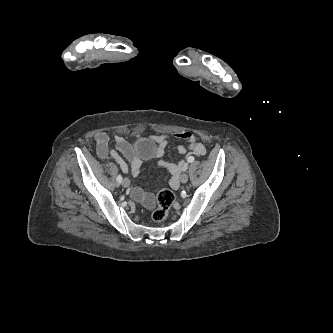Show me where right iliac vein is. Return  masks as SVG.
I'll list each match as a JSON object with an SVG mask.
<instances>
[{
	"label": "right iliac vein",
	"mask_w": 333,
	"mask_h": 333,
	"mask_svg": "<svg viewBox=\"0 0 333 333\" xmlns=\"http://www.w3.org/2000/svg\"><path fill=\"white\" fill-rule=\"evenodd\" d=\"M130 185V180L128 178L123 179L122 186L128 187Z\"/></svg>",
	"instance_id": "1"
}]
</instances>
